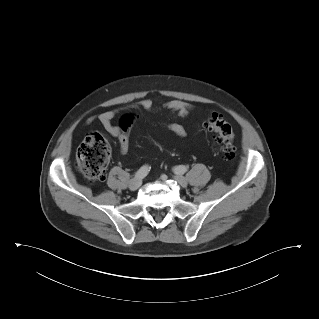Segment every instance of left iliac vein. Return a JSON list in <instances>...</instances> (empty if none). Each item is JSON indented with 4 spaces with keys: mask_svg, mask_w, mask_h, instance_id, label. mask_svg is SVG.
<instances>
[{
    "mask_svg": "<svg viewBox=\"0 0 319 319\" xmlns=\"http://www.w3.org/2000/svg\"><path fill=\"white\" fill-rule=\"evenodd\" d=\"M174 179L178 182V184L182 187H186L188 185V181L185 177L180 174H176Z\"/></svg>",
    "mask_w": 319,
    "mask_h": 319,
    "instance_id": "1",
    "label": "left iliac vein"
}]
</instances>
